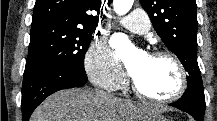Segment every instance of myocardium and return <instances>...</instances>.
Segmentation results:
<instances>
[{
	"label": "myocardium",
	"mask_w": 217,
	"mask_h": 121,
	"mask_svg": "<svg viewBox=\"0 0 217 121\" xmlns=\"http://www.w3.org/2000/svg\"><path fill=\"white\" fill-rule=\"evenodd\" d=\"M150 57L152 58H165L169 60L173 66L175 67L178 75V83L175 88V90L163 97L159 96H154L152 94H149L145 91H143L135 81L134 77L131 78V86L135 94L142 98L143 100L149 101V102H154V103H171L179 99L180 97L183 96L185 91L187 90L188 86V77H187V72L186 69L183 65V63L180 61V59L173 53L169 51H155L153 52Z\"/></svg>",
	"instance_id": "obj_1"
}]
</instances>
